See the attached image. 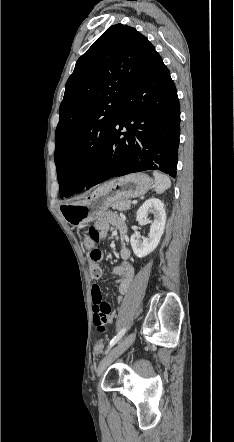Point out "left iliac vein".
Returning <instances> with one entry per match:
<instances>
[{"label":"left iliac vein","instance_id":"obj_1","mask_svg":"<svg viewBox=\"0 0 234 442\" xmlns=\"http://www.w3.org/2000/svg\"><path fill=\"white\" fill-rule=\"evenodd\" d=\"M136 333L132 332L119 342L107 355L101 360L97 368V375L100 376L104 370L123 352H125L135 341Z\"/></svg>","mask_w":234,"mask_h":442}]
</instances>
